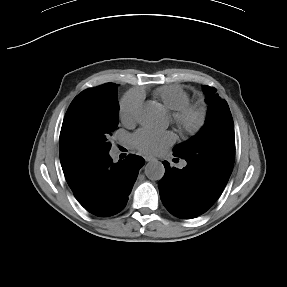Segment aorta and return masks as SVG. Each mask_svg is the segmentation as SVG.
<instances>
[{
    "label": "aorta",
    "instance_id": "obj_1",
    "mask_svg": "<svg viewBox=\"0 0 287 287\" xmlns=\"http://www.w3.org/2000/svg\"><path fill=\"white\" fill-rule=\"evenodd\" d=\"M153 117L154 116H152V118ZM164 173H165L164 165L159 161L151 162L147 164L145 167V174L150 180L155 181L160 180L164 176Z\"/></svg>",
    "mask_w": 287,
    "mask_h": 287
}]
</instances>
